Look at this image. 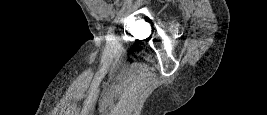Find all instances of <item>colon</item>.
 <instances>
[{
  "instance_id": "obj_1",
  "label": "colon",
  "mask_w": 267,
  "mask_h": 115,
  "mask_svg": "<svg viewBox=\"0 0 267 115\" xmlns=\"http://www.w3.org/2000/svg\"><path fill=\"white\" fill-rule=\"evenodd\" d=\"M98 1H100L106 5H109V6L116 5L120 2V0H98Z\"/></svg>"
}]
</instances>
